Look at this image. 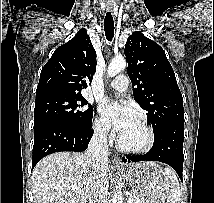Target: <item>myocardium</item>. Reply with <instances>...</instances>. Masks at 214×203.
Instances as JSON below:
<instances>
[{"mask_svg":"<svg viewBox=\"0 0 214 203\" xmlns=\"http://www.w3.org/2000/svg\"><path fill=\"white\" fill-rule=\"evenodd\" d=\"M139 123L141 124V126L146 132V141L140 146H136V147L128 146L122 142L121 135H119L117 139V147L121 151L130 153V154H143L151 150V148L153 147L155 142V134L153 129L144 120H139Z\"/></svg>","mask_w":214,"mask_h":203,"instance_id":"obj_1","label":"myocardium"}]
</instances>
